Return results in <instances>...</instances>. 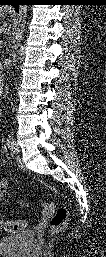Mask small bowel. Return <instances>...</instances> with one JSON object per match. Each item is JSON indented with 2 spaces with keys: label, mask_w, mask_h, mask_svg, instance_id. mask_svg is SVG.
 I'll return each mask as SVG.
<instances>
[{
  "label": "small bowel",
  "mask_w": 106,
  "mask_h": 257,
  "mask_svg": "<svg viewBox=\"0 0 106 257\" xmlns=\"http://www.w3.org/2000/svg\"><path fill=\"white\" fill-rule=\"evenodd\" d=\"M7 181L2 178L1 182H0V196L2 197L6 191V188H7Z\"/></svg>",
  "instance_id": "1"
}]
</instances>
